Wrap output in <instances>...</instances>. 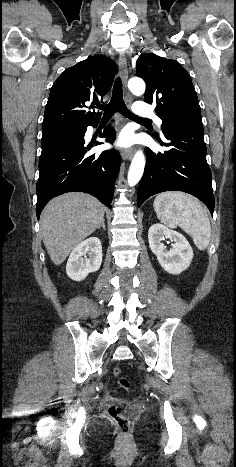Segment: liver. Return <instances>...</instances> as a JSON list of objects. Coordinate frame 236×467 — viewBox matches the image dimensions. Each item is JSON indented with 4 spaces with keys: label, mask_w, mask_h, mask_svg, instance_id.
I'll return each mask as SVG.
<instances>
[{
    "label": "liver",
    "mask_w": 236,
    "mask_h": 467,
    "mask_svg": "<svg viewBox=\"0 0 236 467\" xmlns=\"http://www.w3.org/2000/svg\"><path fill=\"white\" fill-rule=\"evenodd\" d=\"M105 208L96 198L70 192L52 199L40 217L44 245L55 265L90 236L104 220Z\"/></svg>",
    "instance_id": "6515ba94"
}]
</instances>
